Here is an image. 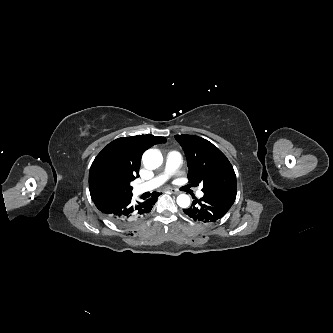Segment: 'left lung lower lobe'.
Wrapping results in <instances>:
<instances>
[{"label": "left lung lower lobe", "mask_w": 333, "mask_h": 333, "mask_svg": "<svg viewBox=\"0 0 333 333\" xmlns=\"http://www.w3.org/2000/svg\"><path fill=\"white\" fill-rule=\"evenodd\" d=\"M232 204L226 199L204 195L200 200L193 201L192 206L183 211L194 220L204 223L215 222L228 212Z\"/></svg>", "instance_id": "0a47b994"}]
</instances>
